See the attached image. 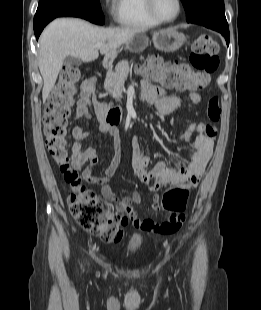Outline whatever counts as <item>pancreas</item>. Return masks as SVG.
I'll return each mask as SVG.
<instances>
[{"mask_svg": "<svg viewBox=\"0 0 261 310\" xmlns=\"http://www.w3.org/2000/svg\"><path fill=\"white\" fill-rule=\"evenodd\" d=\"M131 67L128 61H120L115 66V71H109L105 80V89L112 93L113 98L120 100L122 98V91L124 90V83L127 80Z\"/></svg>", "mask_w": 261, "mask_h": 310, "instance_id": "pancreas-1", "label": "pancreas"}]
</instances>
